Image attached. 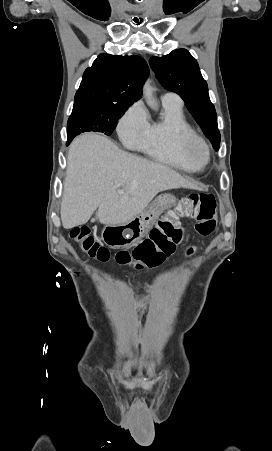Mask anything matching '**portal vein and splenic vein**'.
<instances>
[{"label":"portal vein and splenic vein","instance_id":"portal-vein-and-splenic-vein-1","mask_svg":"<svg viewBox=\"0 0 272 451\" xmlns=\"http://www.w3.org/2000/svg\"><path fill=\"white\" fill-rule=\"evenodd\" d=\"M118 194H124V190H117Z\"/></svg>","mask_w":272,"mask_h":451}]
</instances>
